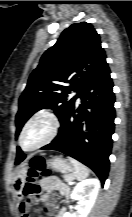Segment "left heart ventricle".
<instances>
[{"instance_id": "left-heart-ventricle-1", "label": "left heart ventricle", "mask_w": 132, "mask_h": 217, "mask_svg": "<svg viewBox=\"0 0 132 217\" xmlns=\"http://www.w3.org/2000/svg\"><path fill=\"white\" fill-rule=\"evenodd\" d=\"M50 128L51 124L48 119H37L27 128L23 137V145L26 148H32L38 145L49 135Z\"/></svg>"}]
</instances>
